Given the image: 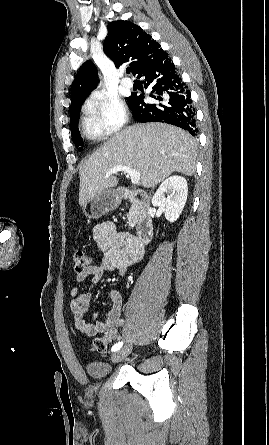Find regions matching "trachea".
Here are the masks:
<instances>
[{"mask_svg":"<svg viewBox=\"0 0 269 445\" xmlns=\"http://www.w3.org/2000/svg\"><path fill=\"white\" fill-rule=\"evenodd\" d=\"M130 72H131L130 68H127V69H126V73H127V74H130Z\"/></svg>","mask_w":269,"mask_h":445,"instance_id":"1","label":"trachea"}]
</instances>
